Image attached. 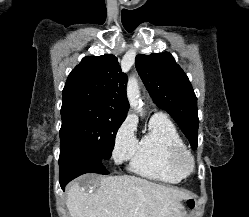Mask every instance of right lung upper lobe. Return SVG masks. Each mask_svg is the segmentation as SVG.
Returning <instances> with one entry per match:
<instances>
[{
    "label": "right lung upper lobe",
    "mask_w": 249,
    "mask_h": 217,
    "mask_svg": "<svg viewBox=\"0 0 249 217\" xmlns=\"http://www.w3.org/2000/svg\"><path fill=\"white\" fill-rule=\"evenodd\" d=\"M126 83L114 55L86 56L69 74L63 100H86L127 115Z\"/></svg>",
    "instance_id": "right-lung-upper-lobe-1"
}]
</instances>
